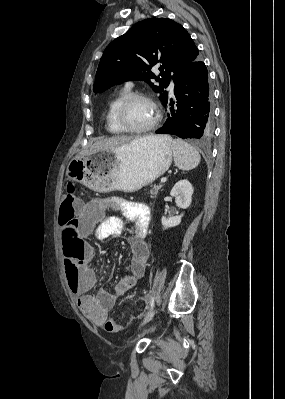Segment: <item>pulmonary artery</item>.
Wrapping results in <instances>:
<instances>
[{
	"instance_id": "1",
	"label": "pulmonary artery",
	"mask_w": 285,
	"mask_h": 399,
	"mask_svg": "<svg viewBox=\"0 0 285 399\" xmlns=\"http://www.w3.org/2000/svg\"><path fill=\"white\" fill-rule=\"evenodd\" d=\"M131 87H132V84H131L130 82H128V83L126 84V88H127V89H130ZM169 89H170V91H173V89H174V83H170Z\"/></svg>"
}]
</instances>
